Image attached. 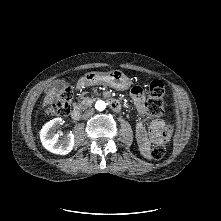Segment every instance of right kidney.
Instances as JSON below:
<instances>
[{"mask_svg": "<svg viewBox=\"0 0 221 221\" xmlns=\"http://www.w3.org/2000/svg\"><path fill=\"white\" fill-rule=\"evenodd\" d=\"M62 124V118H55L47 122L40 131V139L43 147L54 154L66 155L74 147V134L60 138L56 133L58 126Z\"/></svg>", "mask_w": 221, "mask_h": 221, "instance_id": "ca27d5eb", "label": "right kidney"}]
</instances>
